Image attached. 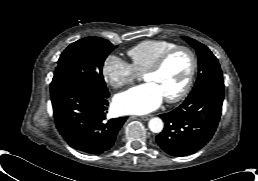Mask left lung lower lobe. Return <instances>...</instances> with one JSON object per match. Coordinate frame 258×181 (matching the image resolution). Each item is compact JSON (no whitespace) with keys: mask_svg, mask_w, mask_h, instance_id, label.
Here are the masks:
<instances>
[{"mask_svg":"<svg viewBox=\"0 0 258 181\" xmlns=\"http://www.w3.org/2000/svg\"><path fill=\"white\" fill-rule=\"evenodd\" d=\"M224 90L207 89L187 98L178 108L161 114L164 130L156 136L159 147L171 156H187L213 136L222 109Z\"/></svg>","mask_w":258,"mask_h":181,"instance_id":"1","label":"left lung lower lobe"}]
</instances>
